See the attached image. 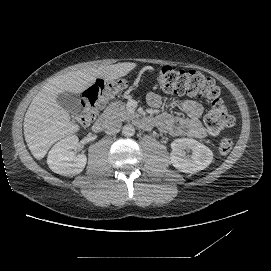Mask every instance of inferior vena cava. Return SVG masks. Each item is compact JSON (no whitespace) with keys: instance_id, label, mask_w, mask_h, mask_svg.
<instances>
[{"instance_id":"obj_1","label":"inferior vena cava","mask_w":271,"mask_h":271,"mask_svg":"<svg viewBox=\"0 0 271 271\" xmlns=\"http://www.w3.org/2000/svg\"><path fill=\"white\" fill-rule=\"evenodd\" d=\"M121 125V121L117 119H109L104 127V131L108 135H115L120 131Z\"/></svg>"}]
</instances>
